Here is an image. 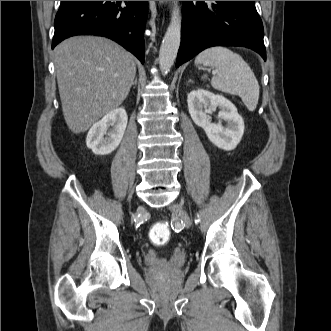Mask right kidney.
Listing matches in <instances>:
<instances>
[{
	"mask_svg": "<svg viewBox=\"0 0 331 331\" xmlns=\"http://www.w3.org/2000/svg\"><path fill=\"white\" fill-rule=\"evenodd\" d=\"M127 113L118 108L106 114L89 130L86 145L96 155H108L121 143L126 126Z\"/></svg>",
	"mask_w": 331,
	"mask_h": 331,
	"instance_id": "right-kidney-1",
	"label": "right kidney"
}]
</instances>
